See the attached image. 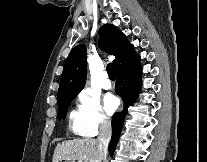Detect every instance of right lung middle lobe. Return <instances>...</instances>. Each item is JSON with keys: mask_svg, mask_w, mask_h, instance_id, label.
I'll use <instances>...</instances> for the list:
<instances>
[{"mask_svg": "<svg viewBox=\"0 0 207 162\" xmlns=\"http://www.w3.org/2000/svg\"><path fill=\"white\" fill-rule=\"evenodd\" d=\"M74 98L75 96H69L58 99V118L60 120L65 118L68 107Z\"/></svg>", "mask_w": 207, "mask_h": 162, "instance_id": "right-lung-middle-lobe-1", "label": "right lung middle lobe"}]
</instances>
